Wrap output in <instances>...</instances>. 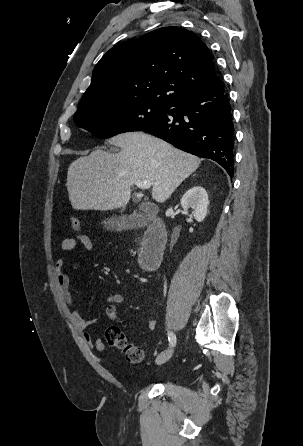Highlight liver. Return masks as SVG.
<instances>
[{
    "label": "liver",
    "mask_w": 303,
    "mask_h": 446,
    "mask_svg": "<svg viewBox=\"0 0 303 446\" xmlns=\"http://www.w3.org/2000/svg\"><path fill=\"white\" fill-rule=\"evenodd\" d=\"M109 143L119 153L94 150L72 162L67 190L76 210H113L125 207L131 187L139 181L152 183V197L165 202L200 165L201 160L143 132L119 134Z\"/></svg>",
    "instance_id": "obj_1"
}]
</instances>
